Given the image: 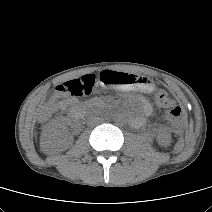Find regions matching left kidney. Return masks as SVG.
Listing matches in <instances>:
<instances>
[{
    "label": "left kidney",
    "mask_w": 212,
    "mask_h": 212,
    "mask_svg": "<svg viewBox=\"0 0 212 212\" xmlns=\"http://www.w3.org/2000/svg\"><path fill=\"white\" fill-rule=\"evenodd\" d=\"M170 137L168 135H159L158 136V141L159 143H165L167 144V141Z\"/></svg>",
    "instance_id": "left-kidney-1"
}]
</instances>
